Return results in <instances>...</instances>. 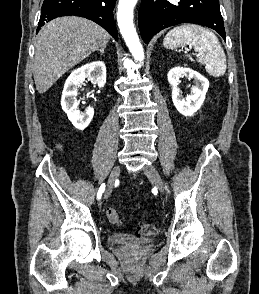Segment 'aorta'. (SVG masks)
Masks as SVG:
<instances>
[{
	"label": "aorta",
	"instance_id": "762f6f07",
	"mask_svg": "<svg viewBox=\"0 0 259 294\" xmlns=\"http://www.w3.org/2000/svg\"><path fill=\"white\" fill-rule=\"evenodd\" d=\"M137 0H119L117 21L122 37L136 61L144 60L143 47L133 24V9Z\"/></svg>",
	"mask_w": 259,
	"mask_h": 294
}]
</instances>
